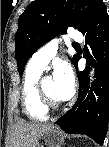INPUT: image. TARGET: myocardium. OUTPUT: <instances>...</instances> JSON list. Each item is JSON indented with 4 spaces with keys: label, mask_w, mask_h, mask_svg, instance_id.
I'll list each match as a JSON object with an SVG mask.
<instances>
[{
    "label": "myocardium",
    "mask_w": 109,
    "mask_h": 147,
    "mask_svg": "<svg viewBox=\"0 0 109 147\" xmlns=\"http://www.w3.org/2000/svg\"><path fill=\"white\" fill-rule=\"evenodd\" d=\"M38 93L43 107L47 110H58V101L53 100L43 89L42 83L38 85Z\"/></svg>",
    "instance_id": "f54148a6"
}]
</instances>
